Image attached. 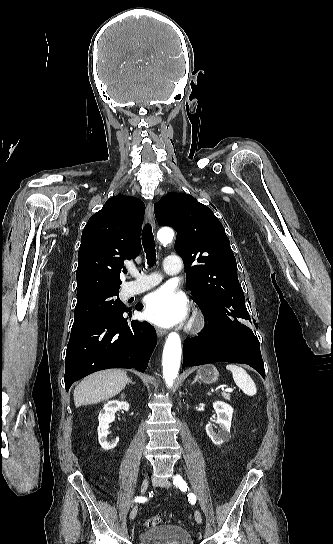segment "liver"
Masks as SVG:
<instances>
[{
	"label": "liver",
	"mask_w": 333,
	"mask_h": 544,
	"mask_svg": "<svg viewBox=\"0 0 333 544\" xmlns=\"http://www.w3.org/2000/svg\"><path fill=\"white\" fill-rule=\"evenodd\" d=\"M125 371L108 369L93 373L84 378L74 390V404L99 403L120 393L128 383Z\"/></svg>",
	"instance_id": "1"
}]
</instances>
